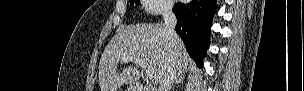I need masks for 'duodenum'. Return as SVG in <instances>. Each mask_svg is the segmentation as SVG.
Instances as JSON below:
<instances>
[{
  "instance_id": "obj_1",
  "label": "duodenum",
  "mask_w": 304,
  "mask_h": 91,
  "mask_svg": "<svg viewBox=\"0 0 304 91\" xmlns=\"http://www.w3.org/2000/svg\"><path fill=\"white\" fill-rule=\"evenodd\" d=\"M131 90L132 91H152L151 89L144 87L141 83H133Z\"/></svg>"
}]
</instances>
